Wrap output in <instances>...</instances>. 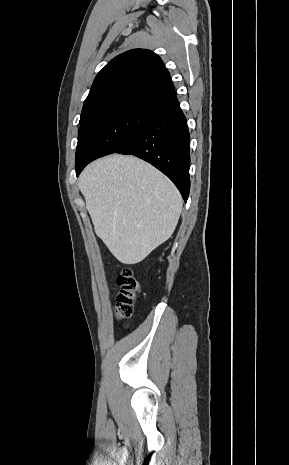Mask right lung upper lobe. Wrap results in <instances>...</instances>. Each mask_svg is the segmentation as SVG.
<instances>
[{
    "label": "right lung upper lobe",
    "instance_id": "1",
    "mask_svg": "<svg viewBox=\"0 0 289 465\" xmlns=\"http://www.w3.org/2000/svg\"><path fill=\"white\" fill-rule=\"evenodd\" d=\"M176 96L170 73L161 58L146 49H133L112 59L96 76L84 101L80 121L96 111L124 101L157 104Z\"/></svg>",
    "mask_w": 289,
    "mask_h": 465
}]
</instances>
